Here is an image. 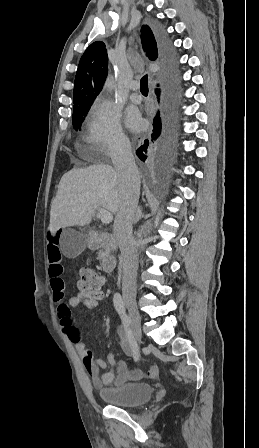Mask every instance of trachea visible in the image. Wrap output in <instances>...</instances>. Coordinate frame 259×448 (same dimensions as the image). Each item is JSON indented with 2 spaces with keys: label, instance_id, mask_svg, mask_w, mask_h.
Returning <instances> with one entry per match:
<instances>
[{
  "label": "trachea",
  "instance_id": "3493384b",
  "mask_svg": "<svg viewBox=\"0 0 259 448\" xmlns=\"http://www.w3.org/2000/svg\"><path fill=\"white\" fill-rule=\"evenodd\" d=\"M140 91L142 94H148V76L144 75V77L140 80Z\"/></svg>",
  "mask_w": 259,
  "mask_h": 448
}]
</instances>
